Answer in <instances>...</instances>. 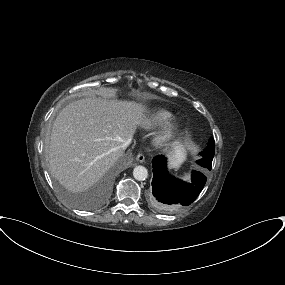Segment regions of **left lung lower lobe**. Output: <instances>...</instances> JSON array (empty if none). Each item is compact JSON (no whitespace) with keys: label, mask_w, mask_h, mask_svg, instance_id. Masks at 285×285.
<instances>
[{"label":"left lung lower lobe","mask_w":285,"mask_h":285,"mask_svg":"<svg viewBox=\"0 0 285 285\" xmlns=\"http://www.w3.org/2000/svg\"><path fill=\"white\" fill-rule=\"evenodd\" d=\"M152 165L153 180L149 201L163 213H172L190 205L206 183L204 170L192 171L190 182L171 176L167 170V159L163 155L154 157Z\"/></svg>","instance_id":"1"}]
</instances>
